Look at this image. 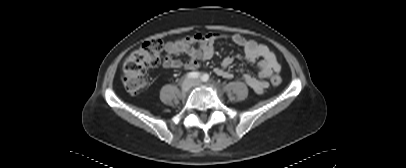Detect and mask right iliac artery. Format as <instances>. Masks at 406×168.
I'll use <instances>...</instances> for the list:
<instances>
[{"label": "right iliac artery", "instance_id": "obj_1", "mask_svg": "<svg viewBox=\"0 0 406 168\" xmlns=\"http://www.w3.org/2000/svg\"><path fill=\"white\" fill-rule=\"evenodd\" d=\"M188 78H198L200 76L199 72H190L186 75Z\"/></svg>", "mask_w": 406, "mask_h": 168}]
</instances>
